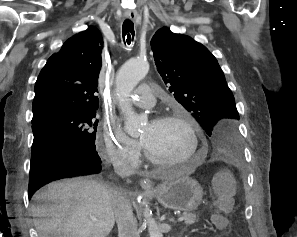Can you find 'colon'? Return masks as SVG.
Returning <instances> with one entry per match:
<instances>
[{"mask_svg": "<svg viewBox=\"0 0 297 237\" xmlns=\"http://www.w3.org/2000/svg\"><path fill=\"white\" fill-rule=\"evenodd\" d=\"M214 182L219 211L213 215L212 221L217 228L224 229L227 226L224 213L229 211L232 205L233 182L225 173L217 175Z\"/></svg>", "mask_w": 297, "mask_h": 237, "instance_id": "5ec220e1", "label": "colon"}]
</instances>
